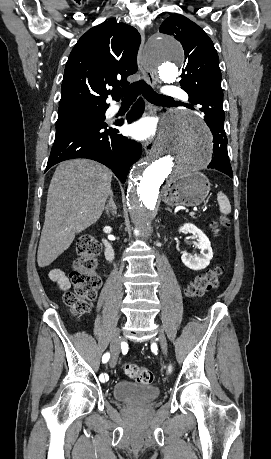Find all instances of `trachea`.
<instances>
[{
  "label": "trachea",
  "instance_id": "obj_1",
  "mask_svg": "<svg viewBox=\"0 0 271 459\" xmlns=\"http://www.w3.org/2000/svg\"><path fill=\"white\" fill-rule=\"evenodd\" d=\"M139 93H142L143 97L152 104L154 103L156 105H161L171 98L154 92L150 85H148L143 79L132 83L127 88H116L115 91V95L123 97V102H135Z\"/></svg>",
  "mask_w": 271,
  "mask_h": 459
}]
</instances>
